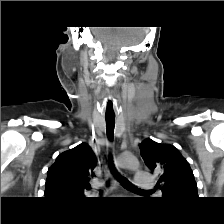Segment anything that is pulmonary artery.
Here are the masks:
<instances>
[{"label":"pulmonary artery","instance_id":"1","mask_svg":"<svg viewBox=\"0 0 224 224\" xmlns=\"http://www.w3.org/2000/svg\"><path fill=\"white\" fill-rule=\"evenodd\" d=\"M134 184L139 188L149 189L153 187L154 179L147 172H138L135 175Z\"/></svg>","mask_w":224,"mask_h":224}]
</instances>
